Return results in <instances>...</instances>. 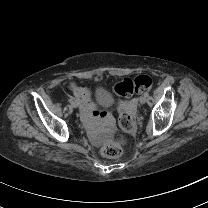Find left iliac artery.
Returning a JSON list of instances; mask_svg holds the SVG:
<instances>
[{
    "mask_svg": "<svg viewBox=\"0 0 208 208\" xmlns=\"http://www.w3.org/2000/svg\"><path fill=\"white\" fill-rule=\"evenodd\" d=\"M144 96L148 97L149 96V93L148 92H145L144 93Z\"/></svg>",
    "mask_w": 208,
    "mask_h": 208,
    "instance_id": "obj_1",
    "label": "left iliac artery"
}]
</instances>
